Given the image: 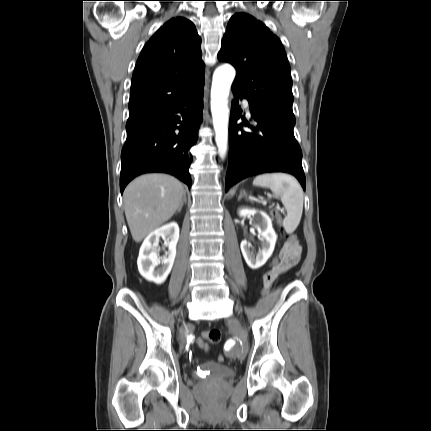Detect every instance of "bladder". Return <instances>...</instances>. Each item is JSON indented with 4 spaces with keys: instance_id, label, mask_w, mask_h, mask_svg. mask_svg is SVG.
<instances>
[{
    "instance_id": "bladder-1",
    "label": "bladder",
    "mask_w": 431,
    "mask_h": 431,
    "mask_svg": "<svg viewBox=\"0 0 431 431\" xmlns=\"http://www.w3.org/2000/svg\"><path fill=\"white\" fill-rule=\"evenodd\" d=\"M234 375L235 370L232 367L213 361L204 362L198 371L193 372L195 378L211 380H225Z\"/></svg>"
}]
</instances>
